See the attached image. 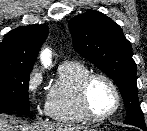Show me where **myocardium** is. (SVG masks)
I'll list each match as a JSON object with an SVG mask.
<instances>
[{"label":"myocardium","mask_w":147,"mask_h":131,"mask_svg":"<svg viewBox=\"0 0 147 131\" xmlns=\"http://www.w3.org/2000/svg\"><path fill=\"white\" fill-rule=\"evenodd\" d=\"M98 78L105 80L110 85L115 96V105L113 109L104 115L94 114L89 104L88 93H89L90 85L95 79H98ZM78 96H79L80 109L84 117L87 120L93 121V122H101L111 118L113 115L116 114V112L119 110L121 106V94H120L118 86L116 85V83L111 77L100 72L89 73L87 76L83 78L79 86Z\"/></svg>","instance_id":"1"}]
</instances>
